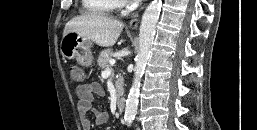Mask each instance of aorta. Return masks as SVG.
Masks as SVG:
<instances>
[{"label":"aorta","mask_w":257,"mask_h":130,"mask_svg":"<svg viewBox=\"0 0 257 130\" xmlns=\"http://www.w3.org/2000/svg\"><path fill=\"white\" fill-rule=\"evenodd\" d=\"M161 6V0H153L146 8L142 16L139 33V52L135 57L134 79L126 100L124 114V119L128 126L132 124L137 112L141 78L150 56V50L152 47Z\"/></svg>","instance_id":"762f6f07"}]
</instances>
